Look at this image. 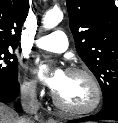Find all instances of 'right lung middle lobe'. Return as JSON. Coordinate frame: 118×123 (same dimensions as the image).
Listing matches in <instances>:
<instances>
[{
  "mask_svg": "<svg viewBox=\"0 0 118 123\" xmlns=\"http://www.w3.org/2000/svg\"><path fill=\"white\" fill-rule=\"evenodd\" d=\"M18 80L17 58L9 48H0V83H16Z\"/></svg>",
  "mask_w": 118,
  "mask_h": 123,
  "instance_id": "obj_1",
  "label": "right lung middle lobe"
}]
</instances>
